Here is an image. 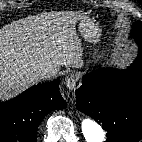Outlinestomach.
Returning <instances> with one entry per match:
<instances>
[{"label":"stomach","mask_w":142,"mask_h":142,"mask_svg":"<svg viewBox=\"0 0 142 142\" xmlns=\"http://www.w3.org/2000/svg\"><path fill=\"white\" fill-rule=\"evenodd\" d=\"M78 31L89 43H97L100 39L101 30L99 26L87 16H82L78 20Z\"/></svg>","instance_id":"obj_1"}]
</instances>
